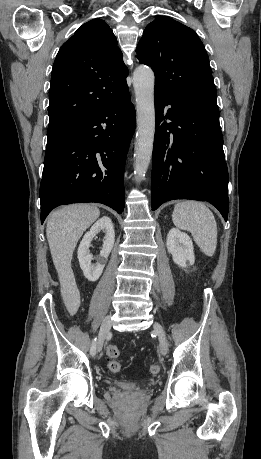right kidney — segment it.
I'll return each mask as SVG.
<instances>
[{"label":"right kidney","mask_w":261,"mask_h":459,"mask_svg":"<svg viewBox=\"0 0 261 459\" xmlns=\"http://www.w3.org/2000/svg\"><path fill=\"white\" fill-rule=\"evenodd\" d=\"M103 231L105 233L103 247L96 264H92V255L90 254L89 247L93 238L97 233ZM115 233L112 221L109 217L104 216L100 218L87 232L78 248V260L84 276L89 281H96L102 274L108 256L114 246Z\"/></svg>","instance_id":"ca27d5eb"}]
</instances>
